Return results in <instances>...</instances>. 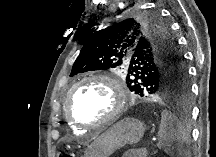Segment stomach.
I'll return each mask as SVG.
<instances>
[{
	"mask_svg": "<svg viewBox=\"0 0 216 157\" xmlns=\"http://www.w3.org/2000/svg\"><path fill=\"white\" fill-rule=\"evenodd\" d=\"M144 130L139 120L123 119L102 132L88 147L85 157H110L124 145L138 142Z\"/></svg>",
	"mask_w": 216,
	"mask_h": 157,
	"instance_id": "obj_1",
	"label": "stomach"
}]
</instances>
